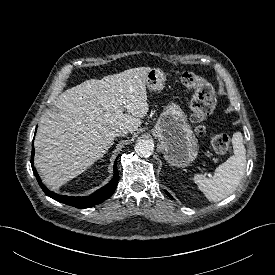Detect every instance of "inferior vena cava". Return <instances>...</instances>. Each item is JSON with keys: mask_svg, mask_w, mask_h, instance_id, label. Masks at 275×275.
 Masks as SVG:
<instances>
[{"mask_svg": "<svg viewBox=\"0 0 275 275\" xmlns=\"http://www.w3.org/2000/svg\"><path fill=\"white\" fill-rule=\"evenodd\" d=\"M128 133V131L126 129H120V130H117L116 133H115V136H125L126 134Z\"/></svg>", "mask_w": 275, "mask_h": 275, "instance_id": "602c4592", "label": "inferior vena cava"}]
</instances>
